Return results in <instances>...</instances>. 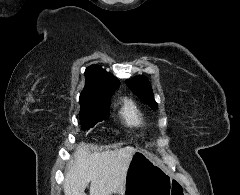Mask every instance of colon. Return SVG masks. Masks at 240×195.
Listing matches in <instances>:
<instances>
[{
	"mask_svg": "<svg viewBox=\"0 0 240 195\" xmlns=\"http://www.w3.org/2000/svg\"><path fill=\"white\" fill-rule=\"evenodd\" d=\"M176 190H177V191H180V190H181V187H180V186H177V187H176ZM173 195H182V193H181V192H174Z\"/></svg>",
	"mask_w": 240,
	"mask_h": 195,
	"instance_id": "obj_1",
	"label": "colon"
}]
</instances>
